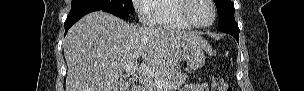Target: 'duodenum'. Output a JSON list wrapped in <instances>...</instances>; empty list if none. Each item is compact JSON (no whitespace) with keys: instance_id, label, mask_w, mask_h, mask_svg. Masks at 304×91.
<instances>
[{"instance_id":"410a0bca","label":"duodenum","mask_w":304,"mask_h":91,"mask_svg":"<svg viewBox=\"0 0 304 91\" xmlns=\"http://www.w3.org/2000/svg\"><path fill=\"white\" fill-rule=\"evenodd\" d=\"M132 91H142V89L140 87H135L132 89Z\"/></svg>"}]
</instances>
